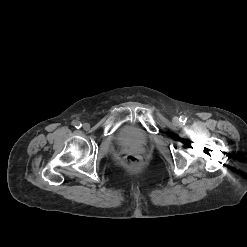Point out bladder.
Returning <instances> with one entry per match:
<instances>
[{
    "label": "bladder",
    "instance_id": "1",
    "mask_svg": "<svg viewBox=\"0 0 247 247\" xmlns=\"http://www.w3.org/2000/svg\"><path fill=\"white\" fill-rule=\"evenodd\" d=\"M118 140L124 145L141 146L146 143L147 135L145 132L132 125H126L119 131Z\"/></svg>",
    "mask_w": 247,
    "mask_h": 247
}]
</instances>
